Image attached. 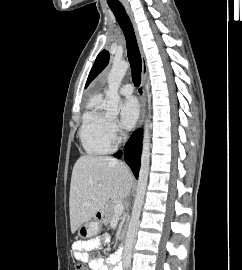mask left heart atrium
<instances>
[{
  "label": "left heart atrium",
  "mask_w": 242,
  "mask_h": 270,
  "mask_svg": "<svg viewBox=\"0 0 242 270\" xmlns=\"http://www.w3.org/2000/svg\"><path fill=\"white\" fill-rule=\"evenodd\" d=\"M140 113V107L135 97L126 98L121 104V123L125 128H132Z\"/></svg>",
  "instance_id": "1"
}]
</instances>
